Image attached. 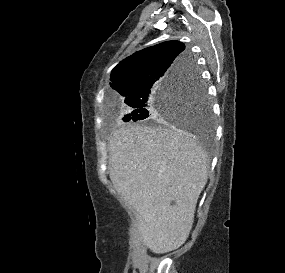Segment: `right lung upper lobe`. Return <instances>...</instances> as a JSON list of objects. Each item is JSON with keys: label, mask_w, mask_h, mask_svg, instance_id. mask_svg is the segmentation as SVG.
<instances>
[{"label": "right lung upper lobe", "mask_w": 285, "mask_h": 273, "mask_svg": "<svg viewBox=\"0 0 285 273\" xmlns=\"http://www.w3.org/2000/svg\"><path fill=\"white\" fill-rule=\"evenodd\" d=\"M193 66L182 42L166 41L140 50L120 62L112 70L110 85L127 102Z\"/></svg>", "instance_id": "cb5924a9"}]
</instances>
